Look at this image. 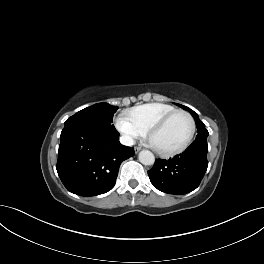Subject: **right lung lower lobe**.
Listing matches in <instances>:
<instances>
[{
	"mask_svg": "<svg viewBox=\"0 0 264 264\" xmlns=\"http://www.w3.org/2000/svg\"><path fill=\"white\" fill-rule=\"evenodd\" d=\"M60 138L58 175L68 191L81 196L111 190L120 164L135 154L134 148L120 144L115 128L68 125Z\"/></svg>",
	"mask_w": 264,
	"mask_h": 264,
	"instance_id": "1",
	"label": "right lung lower lobe"
}]
</instances>
